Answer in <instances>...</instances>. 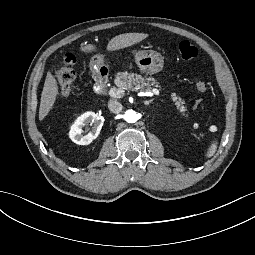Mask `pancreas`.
<instances>
[{
    "label": "pancreas",
    "instance_id": "obj_1",
    "mask_svg": "<svg viewBox=\"0 0 255 255\" xmlns=\"http://www.w3.org/2000/svg\"><path fill=\"white\" fill-rule=\"evenodd\" d=\"M115 84L123 89V90H140L141 92H151L153 87H157L161 89L160 82L157 79L149 77L144 79L142 76L128 73V72H121L115 78ZM165 90V88H163ZM169 93V91H166ZM171 100L175 102L176 110H178L182 116H185V119L188 120L189 115L185 112L187 111V107L184 106L185 102L182 100L180 96H176V93L172 92L170 94Z\"/></svg>",
    "mask_w": 255,
    "mask_h": 255
}]
</instances>
